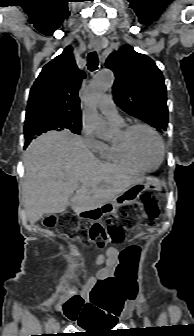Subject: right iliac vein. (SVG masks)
I'll return each instance as SVG.
<instances>
[{"instance_id":"63e3f726","label":"right iliac vein","mask_w":194,"mask_h":336,"mask_svg":"<svg viewBox=\"0 0 194 336\" xmlns=\"http://www.w3.org/2000/svg\"><path fill=\"white\" fill-rule=\"evenodd\" d=\"M53 328H54L55 331H58L59 328H60V324H59V322H55V323L53 324Z\"/></svg>"}]
</instances>
